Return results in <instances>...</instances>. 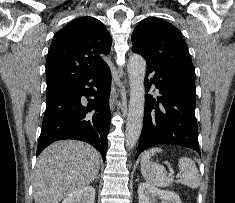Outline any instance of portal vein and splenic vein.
<instances>
[{
  "mask_svg": "<svg viewBox=\"0 0 235 203\" xmlns=\"http://www.w3.org/2000/svg\"><path fill=\"white\" fill-rule=\"evenodd\" d=\"M170 175H173L174 174V171L172 170V169H170V173H169ZM178 176H180V174L178 175Z\"/></svg>",
  "mask_w": 235,
  "mask_h": 203,
  "instance_id": "obj_1",
  "label": "portal vein and splenic vein"
}]
</instances>
